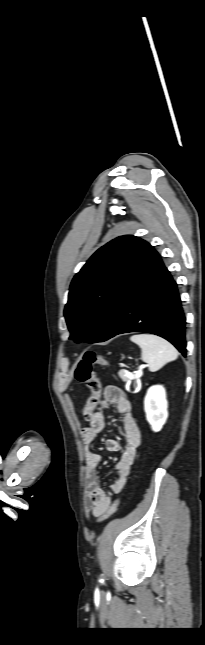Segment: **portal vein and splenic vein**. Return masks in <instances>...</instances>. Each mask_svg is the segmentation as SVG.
Here are the masks:
<instances>
[{
  "instance_id": "18ae733b",
  "label": "portal vein and splenic vein",
  "mask_w": 205,
  "mask_h": 645,
  "mask_svg": "<svg viewBox=\"0 0 205 645\" xmlns=\"http://www.w3.org/2000/svg\"><path fill=\"white\" fill-rule=\"evenodd\" d=\"M145 367H146V365H142V366L139 368V370L136 372L137 376H139V375H141V374H142V369H143V368H145ZM126 374H127V376H129V377H133L132 373H130V372H126Z\"/></svg>"
}]
</instances>
